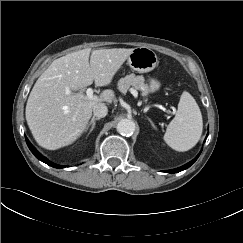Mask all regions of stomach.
I'll return each mask as SVG.
<instances>
[{
    "label": "stomach",
    "mask_w": 243,
    "mask_h": 243,
    "mask_svg": "<svg viewBox=\"0 0 243 243\" xmlns=\"http://www.w3.org/2000/svg\"><path fill=\"white\" fill-rule=\"evenodd\" d=\"M127 64L132 70L138 73H147L152 71L158 64V57L156 53L147 47H137L127 58ZM160 83L156 79L149 80V91L154 92L158 90Z\"/></svg>",
    "instance_id": "obj_1"
}]
</instances>
